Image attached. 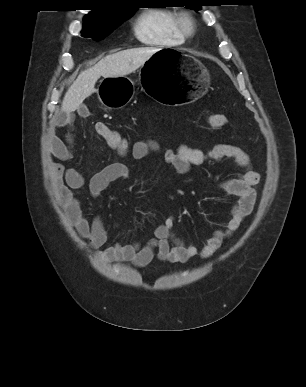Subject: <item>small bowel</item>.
I'll use <instances>...</instances> for the list:
<instances>
[{"mask_svg": "<svg viewBox=\"0 0 306 387\" xmlns=\"http://www.w3.org/2000/svg\"><path fill=\"white\" fill-rule=\"evenodd\" d=\"M72 121L73 115L71 113L60 115L53 121L49 134V151L58 160H67L71 157ZM57 129H66L65 136L57 135L55 133ZM157 153H161L163 159L182 175L188 174L192 166L225 158L232 159L243 167L244 173L219 183V187L234 198L229 209L228 221L213 232L201 250L195 245L183 242L174 235L173 216L167 217L158 224L153 230L152 238L145 244L139 242L116 243L101 250L108 237L105 225L98 216L89 221L76 197V193L85 186L84 177L76 169L65 168L61 163L53 162L51 175L56 196L69 221L79 235L86 239L93 249L97 250L100 259L106 262L130 263L140 268L147 266L154 257L171 263H184L197 255L208 258L221 248L224 241L240 227L243 220L252 212L256 200L254 186L259 181V174L251 168L248 155L240 147L216 144L203 150L182 143L176 148H170L161 146L154 139H141L134 142L130 150V156L134 160H142ZM129 175L130 168L126 164L111 163L90 178L87 185L89 194L93 198H97L112 182L125 180Z\"/></svg>", "mask_w": 306, "mask_h": 387, "instance_id": "1", "label": "small bowel"}]
</instances>
